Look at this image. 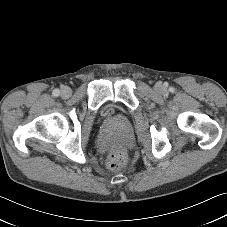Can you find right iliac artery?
<instances>
[{
    "label": "right iliac artery",
    "mask_w": 227,
    "mask_h": 227,
    "mask_svg": "<svg viewBox=\"0 0 227 227\" xmlns=\"http://www.w3.org/2000/svg\"><path fill=\"white\" fill-rule=\"evenodd\" d=\"M52 94H53V96H55V97L59 96V95H60L59 89L53 90Z\"/></svg>",
    "instance_id": "right-iliac-artery-1"
}]
</instances>
